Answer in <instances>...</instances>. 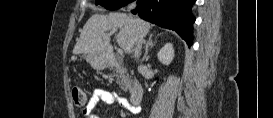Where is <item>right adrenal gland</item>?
<instances>
[{"instance_id": "right-adrenal-gland-1", "label": "right adrenal gland", "mask_w": 273, "mask_h": 118, "mask_svg": "<svg viewBox=\"0 0 273 118\" xmlns=\"http://www.w3.org/2000/svg\"><path fill=\"white\" fill-rule=\"evenodd\" d=\"M152 36H153V34L149 35L148 42L146 43L145 54H144L143 60H148L149 47H153L155 44V42L152 41Z\"/></svg>"}]
</instances>
